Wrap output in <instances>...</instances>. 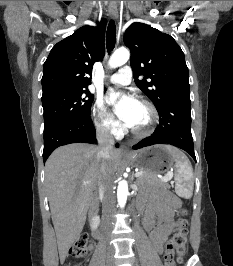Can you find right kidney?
<instances>
[{"label":"right kidney","mask_w":233,"mask_h":266,"mask_svg":"<svg viewBox=\"0 0 233 266\" xmlns=\"http://www.w3.org/2000/svg\"><path fill=\"white\" fill-rule=\"evenodd\" d=\"M99 223H100V218L99 216H94L92 219H91V228L93 230L97 229V227L99 226Z\"/></svg>","instance_id":"right-kidney-1"}]
</instances>
